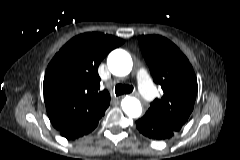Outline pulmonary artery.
<instances>
[{"label": "pulmonary artery", "instance_id": "e3ab8cb5", "mask_svg": "<svg viewBox=\"0 0 240 160\" xmlns=\"http://www.w3.org/2000/svg\"><path fill=\"white\" fill-rule=\"evenodd\" d=\"M139 91L146 100H152L155 96V88L145 70H139L136 74Z\"/></svg>", "mask_w": 240, "mask_h": 160}]
</instances>
